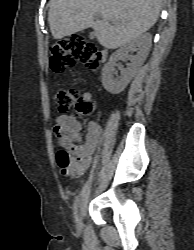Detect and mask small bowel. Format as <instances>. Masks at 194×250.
I'll use <instances>...</instances> for the list:
<instances>
[{
	"label": "small bowel",
	"mask_w": 194,
	"mask_h": 250,
	"mask_svg": "<svg viewBox=\"0 0 194 250\" xmlns=\"http://www.w3.org/2000/svg\"><path fill=\"white\" fill-rule=\"evenodd\" d=\"M83 97L88 100L91 99L90 93H85ZM81 130V123L69 115L59 116L54 126V133L58 142L72 150L73 157L70 166L68 168L59 166L63 175L72 178L82 175L90 166L92 154L101 138V127L95 122L88 124L84 142Z\"/></svg>",
	"instance_id": "1"
}]
</instances>
